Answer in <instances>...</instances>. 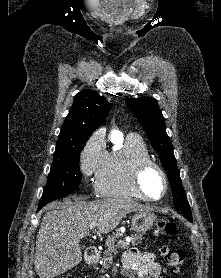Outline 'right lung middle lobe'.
<instances>
[{
	"mask_svg": "<svg viewBox=\"0 0 221 278\" xmlns=\"http://www.w3.org/2000/svg\"><path fill=\"white\" fill-rule=\"evenodd\" d=\"M86 142L63 149H56L48 181L40 199L39 207L61 198L76 189L81 182L79 168L80 152Z\"/></svg>",
	"mask_w": 221,
	"mask_h": 278,
	"instance_id": "1",
	"label": "right lung middle lobe"
}]
</instances>
